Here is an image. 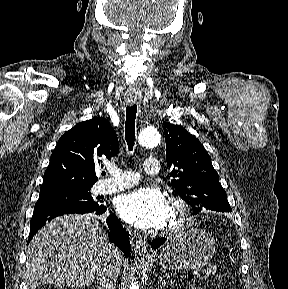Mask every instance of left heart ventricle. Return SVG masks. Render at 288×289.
<instances>
[{
	"instance_id": "left-heart-ventricle-1",
	"label": "left heart ventricle",
	"mask_w": 288,
	"mask_h": 289,
	"mask_svg": "<svg viewBox=\"0 0 288 289\" xmlns=\"http://www.w3.org/2000/svg\"><path fill=\"white\" fill-rule=\"evenodd\" d=\"M175 217V213L172 209H170V217H169V222H171Z\"/></svg>"
}]
</instances>
